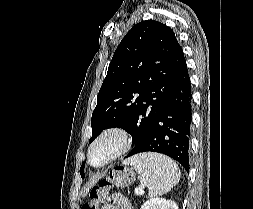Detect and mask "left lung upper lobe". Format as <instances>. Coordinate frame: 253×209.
<instances>
[{
  "instance_id": "left-lung-upper-lobe-1",
  "label": "left lung upper lobe",
  "mask_w": 253,
  "mask_h": 209,
  "mask_svg": "<svg viewBox=\"0 0 253 209\" xmlns=\"http://www.w3.org/2000/svg\"><path fill=\"white\" fill-rule=\"evenodd\" d=\"M184 63L170 27L153 20L132 27L117 47L99 90L89 143L102 130L118 127L132 136L135 147L130 153L137 151L163 111Z\"/></svg>"
}]
</instances>
